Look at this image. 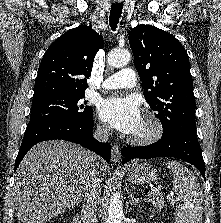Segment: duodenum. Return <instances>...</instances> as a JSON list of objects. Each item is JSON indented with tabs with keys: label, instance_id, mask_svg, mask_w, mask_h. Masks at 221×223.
I'll return each instance as SVG.
<instances>
[{
	"label": "duodenum",
	"instance_id": "1",
	"mask_svg": "<svg viewBox=\"0 0 221 223\" xmlns=\"http://www.w3.org/2000/svg\"><path fill=\"white\" fill-rule=\"evenodd\" d=\"M73 223H83L82 213L78 212L74 217Z\"/></svg>",
	"mask_w": 221,
	"mask_h": 223
}]
</instances>
